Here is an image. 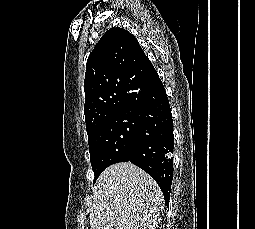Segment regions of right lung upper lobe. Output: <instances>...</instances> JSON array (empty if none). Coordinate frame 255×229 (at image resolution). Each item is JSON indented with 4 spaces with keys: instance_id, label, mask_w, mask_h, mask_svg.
<instances>
[{
    "instance_id": "right-lung-upper-lobe-1",
    "label": "right lung upper lobe",
    "mask_w": 255,
    "mask_h": 229,
    "mask_svg": "<svg viewBox=\"0 0 255 229\" xmlns=\"http://www.w3.org/2000/svg\"><path fill=\"white\" fill-rule=\"evenodd\" d=\"M134 35L109 29L88 57L84 80V114L88 137L130 105L156 74Z\"/></svg>"
}]
</instances>
